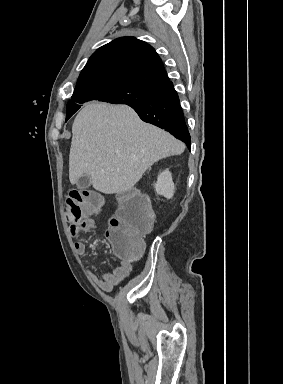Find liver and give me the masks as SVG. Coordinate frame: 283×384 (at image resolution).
<instances>
[{
  "instance_id": "liver-1",
  "label": "liver",
  "mask_w": 283,
  "mask_h": 384,
  "mask_svg": "<svg viewBox=\"0 0 283 384\" xmlns=\"http://www.w3.org/2000/svg\"><path fill=\"white\" fill-rule=\"evenodd\" d=\"M72 134L70 184L90 176L93 188L103 194L128 192L155 162L179 156L186 148L123 104H87L77 114Z\"/></svg>"
}]
</instances>
